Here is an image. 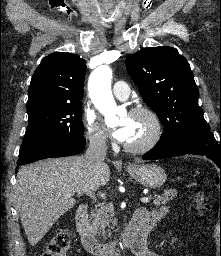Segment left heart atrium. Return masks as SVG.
Masks as SVG:
<instances>
[{
    "label": "left heart atrium",
    "mask_w": 221,
    "mask_h": 256,
    "mask_svg": "<svg viewBox=\"0 0 221 256\" xmlns=\"http://www.w3.org/2000/svg\"><path fill=\"white\" fill-rule=\"evenodd\" d=\"M131 132V123L129 121H125L119 128L113 131L112 136L120 142H127L130 138Z\"/></svg>",
    "instance_id": "39dd6f15"
}]
</instances>
